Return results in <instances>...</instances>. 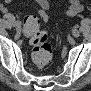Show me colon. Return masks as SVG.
I'll return each instance as SVG.
<instances>
[{
    "instance_id": "obj_1",
    "label": "colon",
    "mask_w": 91,
    "mask_h": 91,
    "mask_svg": "<svg viewBox=\"0 0 91 91\" xmlns=\"http://www.w3.org/2000/svg\"><path fill=\"white\" fill-rule=\"evenodd\" d=\"M48 15H28L24 19V33L29 38L32 47L33 62L39 68H44L52 58L48 35L40 29V22L47 21Z\"/></svg>"
}]
</instances>
